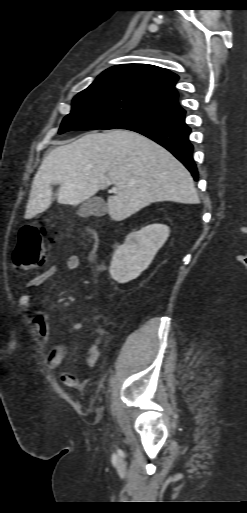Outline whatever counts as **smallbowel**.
I'll use <instances>...</instances> for the list:
<instances>
[{
	"label": "small bowel",
	"mask_w": 247,
	"mask_h": 513,
	"mask_svg": "<svg viewBox=\"0 0 247 513\" xmlns=\"http://www.w3.org/2000/svg\"><path fill=\"white\" fill-rule=\"evenodd\" d=\"M65 267L69 271L78 270L80 267L79 256L76 254L68 255L65 261ZM56 271L57 266L55 264L49 265L40 275L30 280L26 284L24 292L19 296L18 299V307L20 311L27 315L30 322L34 325L38 336L45 343H48L51 340V324L49 319L44 314L32 310V295L29 290L44 284L56 273ZM100 354V349L95 345H91L88 348L85 356V364L90 368L95 367L99 361ZM66 355V347L62 344H56L48 352L45 358V364L50 369H57L64 363ZM61 379L64 385L67 387L81 388L85 385L84 381L78 380L76 376L70 372L63 373Z\"/></svg>",
	"instance_id": "1"
}]
</instances>
